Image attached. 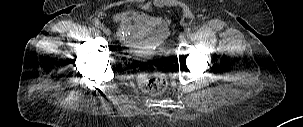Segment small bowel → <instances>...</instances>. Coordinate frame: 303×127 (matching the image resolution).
Wrapping results in <instances>:
<instances>
[{"instance_id": "small-bowel-1", "label": "small bowel", "mask_w": 303, "mask_h": 127, "mask_svg": "<svg viewBox=\"0 0 303 127\" xmlns=\"http://www.w3.org/2000/svg\"><path fill=\"white\" fill-rule=\"evenodd\" d=\"M114 21L119 25L120 34L133 32L137 36L147 37L152 44L160 42L168 34L167 19L154 17L136 9L115 14Z\"/></svg>"}]
</instances>
